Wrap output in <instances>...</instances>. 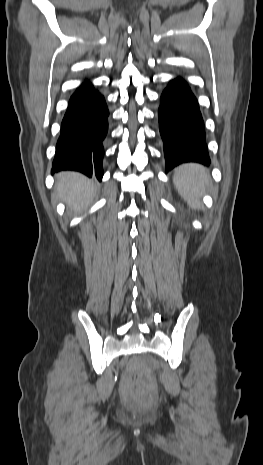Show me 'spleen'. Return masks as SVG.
Returning <instances> with one entry per match:
<instances>
[{"label":"spleen","mask_w":263,"mask_h":465,"mask_svg":"<svg viewBox=\"0 0 263 465\" xmlns=\"http://www.w3.org/2000/svg\"><path fill=\"white\" fill-rule=\"evenodd\" d=\"M208 182L209 175L201 165L188 163L175 170L174 184L179 194L194 209L200 207L199 195Z\"/></svg>","instance_id":"obj_1"}]
</instances>
